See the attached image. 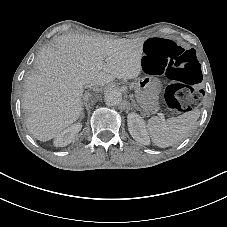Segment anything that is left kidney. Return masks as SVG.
<instances>
[{
	"label": "left kidney",
	"instance_id": "obj_1",
	"mask_svg": "<svg viewBox=\"0 0 227 227\" xmlns=\"http://www.w3.org/2000/svg\"><path fill=\"white\" fill-rule=\"evenodd\" d=\"M128 129L131 136L139 143L148 145L149 137L145 129L143 119L136 114H128Z\"/></svg>",
	"mask_w": 227,
	"mask_h": 227
}]
</instances>
